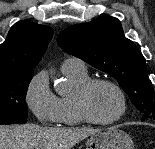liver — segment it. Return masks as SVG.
<instances>
[{
    "label": "liver",
    "mask_w": 155,
    "mask_h": 149,
    "mask_svg": "<svg viewBox=\"0 0 155 149\" xmlns=\"http://www.w3.org/2000/svg\"><path fill=\"white\" fill-rule=\"evenodd\" d=\"M100 131L92 128H50L35 124L0 125V149H71Z\"/></svg>",
    "instance_id": "obj_1"
}]
</instances>
